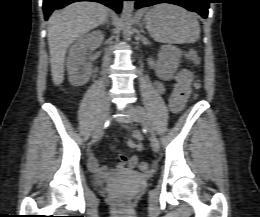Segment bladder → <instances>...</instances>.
I'll list each match as a JSON object with an SVG mask.
<instances>
[{
	"mask_svg": "<svg viewBox=\"0 0 260 217\" xmlns=\"http://www.w3.org/2000/svg\"><path fill=\"white\" fill-rule=\"evenodd\" d=\"M128 173V172H127ZM128 177H131V178H140V175L136 172H130L128 173Z\"/></svg>",
	"mask_w": 260,
	"mask_h": 217,
	"instance_id": "1",
	"label": "bladder"
}]
</instances>
